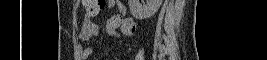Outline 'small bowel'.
<instances>
[{"mask_svg":"<svg viewBox=\"0 0 267 60\" xmlns=\"http://www.w3.org/2000/svg\"><path fill=\"white\" fill-rule=\"evenodd\" d=\"M114 6H117L118 14L111 16L107 20L106 32L116 38H118L120 34L131 36L135 31V29H131L130 27L132 24L135 25L134 19L127 16V8L123 2L114 0L105 1L104 8H112ZM99 33L100 27L94 23L92 18L85 17L82 21L78 37L80 41L85 42L97 37ZM83 52L85 55H89L93 52V48H85Z\"/></svg>","mask_w":267,"mask_h":60,"instance_id":"obj_1","label":"small bowel"}]
</instances>
